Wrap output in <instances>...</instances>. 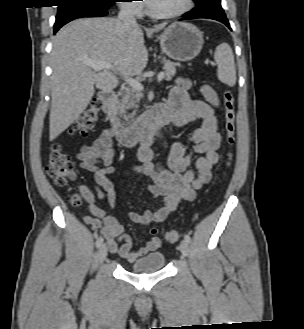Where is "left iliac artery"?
I'll return each instance as SVG.
<instances>
[{
  "label": "left iliac artery",
  "instance_id": "left-iliac-artery-1",
  "mask_svg": "<svg viewBox=\"0 0 304 329\" xmlns=\"http://www.w3.org/2000/svg\"><path fill=\"white\" fill-rule=\"evenodd\" d=\"M184 239H185V241H187L188 243L191 242V238H190V236H189L188 234H185V235H184Z\"/></svg>",
  "mask_w": 304,
  "mask_h": 329
}]
</instances>
